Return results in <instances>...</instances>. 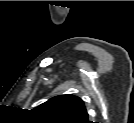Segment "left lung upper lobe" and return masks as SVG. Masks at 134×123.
Returning a JSON list of instances; mask_svg holds the SVG:
<instances>
[{"label": "left lung upper lobe", "mask_w": 134, "mask_h": 123, "mask_svg": "<svg viewBox=\"0 0 134 123\" xmlns=\"http://www.w3.org/2000/svg\"><path fill=\"white\" fill-rule=\"evenodd\" d=\"M34 110L55 122L88 123V113L83 100L71 94L53 97Z\"/></svg>", "instance_id": "left-lung-upper-lobe-1"}]
</instances>
